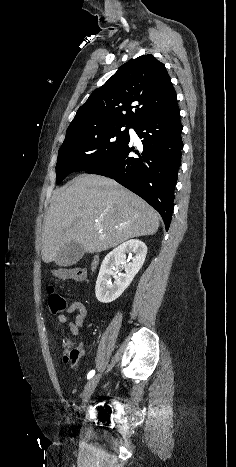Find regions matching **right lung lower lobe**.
Here are the masks:
<instances>
[{
	"label": "right lung lower lobe",
	"instance_id": "98d812e1",
	"mask_svg": "<svg viewBox=\"0 0 236 467\" xmlns=\"http://www.w3.org/2000/svg\"><path fill=\"white\" fill-rule=\"evenodd\" d=\"M179 113L176 101L134 127L143 139V151L132 146L129 138L112 156L86 170V173L112 178L142 197L160 213L166 230L172 218L183 149Z\"/></svg>",
	"mask_w": 236,
	"mask_h": 467
}]
</instances>
